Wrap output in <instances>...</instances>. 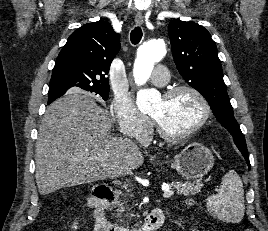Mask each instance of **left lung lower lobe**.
Returning <instances> with one entry per match:
<instances>
[{"label":"left lung lower lobe","mask_w":268,"mask_h":231,"mask_svg":"<svg viewBox=\"0 0 268 231\" xmlns=\"http://www.w3.org/2000/svg\"><path fill=\"white\" fill-rule=\"evenodd\" d=\"M241 153H242V155L244 156V158H245V160H246V162H247V164H248V167H249V169H250V168H251V165H250V162H249V156H248L247 151H241Z\"/></svg>","instance_id":"1"}]
</instances>
